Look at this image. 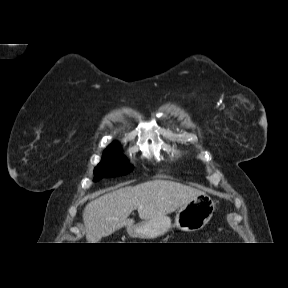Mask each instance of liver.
Returning <instances> with one entry per match:
<instances>
[{"mask_svg":"<svg viewBox=\"0 0 288 288\" xmlns=\"http://www.w3.org/2000/svg\"><path fill=\"white\" fill-rule=\"evenodd\" d=\"M199 193L193 187L164 179L107 193L88 203L83 211L86 239L98 243L124 226H133L129 215L135 209L140 219L147 221L174 212Z\"/></svg>","mask_w":288,"mask_h":288,"instance_id":"6515ba94","label":"liver"}]
</instances>
